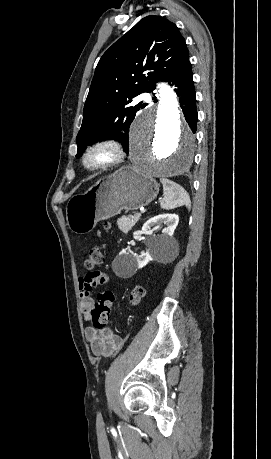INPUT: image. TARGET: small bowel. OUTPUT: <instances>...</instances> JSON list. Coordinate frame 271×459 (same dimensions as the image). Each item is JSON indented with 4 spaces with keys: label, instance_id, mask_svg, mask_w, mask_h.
<instances>
[{
    "label": "small bowel",
    "instance_id": "c3829d8e",
    "mask_svg": "<svg viewBox=\"0 0 271 459\" xmlns=\"http://www.w3.org/2000/svg\"><path fill=\"white\" fill-rule=\"evenodd\" d=\"M108 277L101 271H91L79 279V293L81 310L85 320H91V313L95 306L92 291L96 286L105 285ZM91 351L96 357L111 358L122 346V339L110 328H95L89 326L85 331Z\"/></svg>",
    "mask_w": 271,
    "mask_h": 459
}]
</instances>
